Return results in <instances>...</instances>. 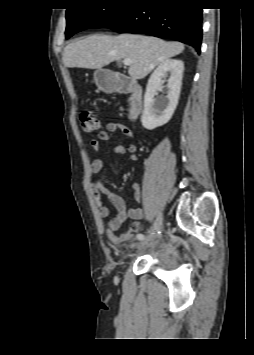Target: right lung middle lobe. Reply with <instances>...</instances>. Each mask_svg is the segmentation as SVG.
I'll return each mask as SVG.
<instances>
[{
  "instance_id": "dd1d6c3e",
  "label": "right lung middle lobe",
  "mask_w": 254,
  "mask_h": 355,
  "mask_svg": "<svg viewBox=\"0 0 254 355\" xmlns=\"http://www.w3.org/2000/svg\"><path fill=\"white\" fill-rule=\"evenodd\" d=\"M139 0H94L83 8H72L66 12V39L89 28H101L110 24L130 4Z\"/></svg>"
}]
</instances>
